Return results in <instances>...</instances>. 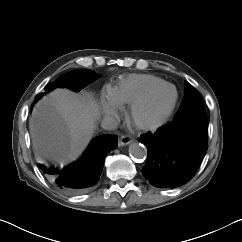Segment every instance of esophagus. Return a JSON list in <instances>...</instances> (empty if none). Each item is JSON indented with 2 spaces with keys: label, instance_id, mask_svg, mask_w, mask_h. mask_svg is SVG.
<instances>
[{
  "label": "esophagus",
  "instance_id": "34e87169",
  "mask_svg": "<svg viewBox=\"0 0 242 242\" xmlns=\"http://www.w3.org/2000/svg\"><path fill=\"white\" fill-rule=\"evenodd\" d=\"M132 142V137L128 136V135H123L121 136L120 140H119V145L120 146H125L128 145Z\"/></svg>",
  "mask_w": 242,
  "mask_h": 242
}]
</instances>
